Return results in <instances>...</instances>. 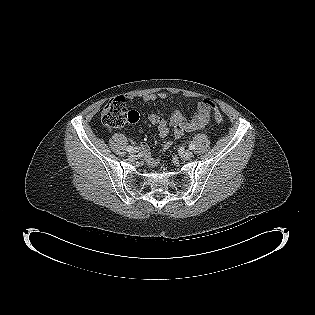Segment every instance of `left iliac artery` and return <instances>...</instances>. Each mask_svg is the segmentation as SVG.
<instances>
[{
  "label": "left iliac artery",
  "mask_w": 315,
  "mask_h": 315,
  "mask_svg": "<svg viewBox=\"0 0 315 315\" xmlns=\"http://www.w3.org/2000/svg\"><path fill=\"white\" fill-rule=\"evenodd\" d=\"M194 147H195V145H194V144H192V143H191V144H189V149H191V150H192V149H194Z\"/></svg>",
  "instance_id": "44dca946"
}]
</instances>
